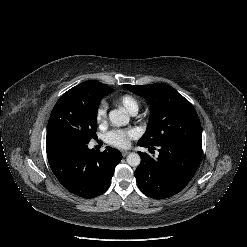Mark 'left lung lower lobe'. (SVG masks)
Instances as JSON below:
<instances>
[{"label": "left lung lower lobe", "instance_id": "0a47b994", "mask_svg": "<svg viewBox=\"0 0 247 247\" xmlns=\"http://www.w3.org/2000/svg\"><path fill=\"white\" fill-rule=\"evenodd\" d=\"M156 157L138 152L141 162L134 175L139 189L154 199H165L179 193L193 178L199 166L202 145L176 142L169 144L139 145Z\"/></svg>", "mask_w": 247, "mask_h": 247}]
</instances>
